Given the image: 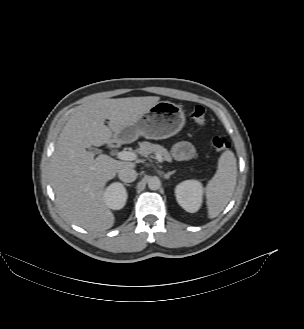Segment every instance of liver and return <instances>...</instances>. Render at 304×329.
<instances>
[{
    "label": "liver",
    "mask_w": 304,
    "mask_h": 329,
    "mask_svg": "<svg viewBox=\"0 0 304 329\" xmlns=\"http://www.w3.org/2000/svg\"><path fill=\"white\" fill-rule=\"evenodd\" d=\"M157 96L99 99L80 106L57 140L50 165V180L57 204L68 220L90 232L114 224L104 201L106 183L133 162L118 161L87 151L113 141L114 134L133 123L159 101ZM109 120V126L104 125Z\"/></svg>",
    "instance_id": "liver-1"
}]
</instances>
